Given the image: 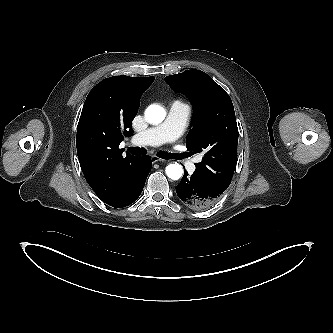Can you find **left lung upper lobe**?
Listing matches in <instances>:
<instances>
[{
  "instance_id": "left-lung-upper-lobe-1",
  "label": "left lung upper lobe",
  "mask_w": 333,
  "mask_h": 333,
  "mask_svg": "<svg viewBox=\"0 0 333 333\" xmlns=\"http://www.w3.org/2000/svg\"><path fill=\"white\" fill-rule=\"evenodd\" d=\"M167 84L188 96L194 104L191 129L186 146L194 153H204L195 173L218 188L226 190L237 163L238 128L229 95L206 73L186 70L167 76Z\"/></svg>"
}]
</instances>
